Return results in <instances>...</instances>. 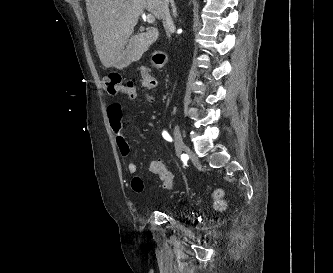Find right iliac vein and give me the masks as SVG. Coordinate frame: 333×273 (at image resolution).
I'll list each match as a JSON object with an SVG mask.
<instances>
[{"label":"right iliac vein","mask_w":333,"mask_h":273,"mask_svg":"<svg viewBox=\"0 0 333 273\" xmlns=\"http://www.w3.org/2000/svg\"><path fill=\"white\" fill-rule=\"evenodd\" d=\"M174 139H175V144H176V153L177 156L179 157L182 152L186 149V145L183 141L179 126L175 124L174 126Z\"/></svg>","instance_id":"1"}]
</instances>
